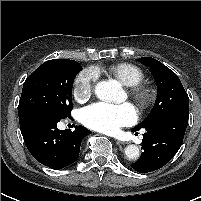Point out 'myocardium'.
Wrapping results in <instances>:
<instances>
[{
  "label": "myocardium",
  "mask_w": 201,
  "mask_h": 201,
  "mask_svg": "<svg viewBox=\"0 0 201 201\" xmlns=\"http://www.w3.org/2000/svg\"><path fill=\"white\" fill-rule=\"evenodd\" d=\"M129 93L134 103L140 109L147 108L152 101L153 96L150 89L140 83L130 86Z\"/></svg>",
  "instance_id": "f54148a6"
}]
</instances>
